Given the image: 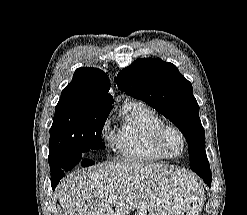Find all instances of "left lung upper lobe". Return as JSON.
I'll return each instance as SVG.
<instances>
[{
    "label": "left lung upper lobe",
    "mask_w": 247,
    "mask_h": 215,
    "mask_svg": "<svg viewBox=\"0 0 247 215\" xmlns=\"http://www.w3.org/2000/svg\"><path fill=\"white\" fill-rule=\"evenodd\" d=\"M122 91L140 99L172 121L186 137L191 169L207 160L204 128L192 84L177 67L161 59H137L114 80Z\"/></svg>",
    "instance_id": "obj_1"
}]
</instances>
